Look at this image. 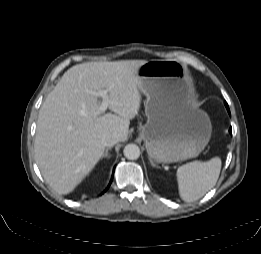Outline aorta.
<instances>
[{
  "label": "aorta",
  "mask_w": 261,
  "mask_h": 254,
  "mask_svg": "<svg viewBox=\"0 0 261 254\" xmlns=\"http://www.w3.org/2000/svg\"><path fill=\"white\" fill-rule=\"evenodd\" d=\"M123 153L127 159L136 160L140 157V148L136 144H127Z\"/></svg>",
  "instance_id": "1"
}]
</instances>
